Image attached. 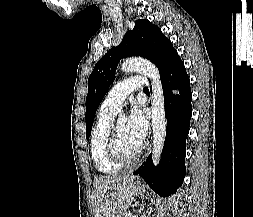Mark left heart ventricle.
Returning <instances> with one entry per match:
<instances>
[{
    "mask_svg": "<svg viewBox=\"0 0 253 217\" xmlns=\"http://www.w3.org/2000/svg\"><path fill=\"white\" fill-rule=\"evenodd\" d=\"M116 131L121 151L127 156L135 154L139 150L141 144L131 136L127 124L125 122L116 124Z\"/></svg>",
    "mask_w": 253,
    "mask_h": 217,
    "instance_id": "left-heart-ventricle-1",
    "label": "left heart ventricle"
}]
</instances>
